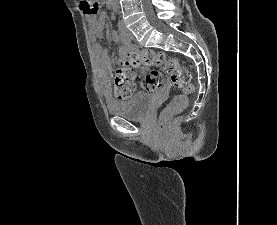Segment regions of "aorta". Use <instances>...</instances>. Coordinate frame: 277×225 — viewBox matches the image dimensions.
Segmentation results:
<instances>
[{
  "mask_svg": "<svg viewBox=\"0 0 277 225\" xmlns=\"http://www.w3.org/2000/svg\"><path fill=\"white\" fill-rule=\"evenodd\" d=\"M108 1H109V4L111 5L112 9L114 11H117L118 10L117 0H108Z\"/></svg>",
  "mask_w": 277,
  "mask_h": 225,
  "instance_id": "obj_1",
  "label": "aorta"
}]
</instances>
